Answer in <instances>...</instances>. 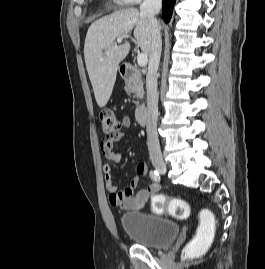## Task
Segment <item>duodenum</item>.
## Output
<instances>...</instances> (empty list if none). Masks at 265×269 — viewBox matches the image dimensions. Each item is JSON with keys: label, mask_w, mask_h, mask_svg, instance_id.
<instances>
[{"label": "duodenum", "mask_w": 265, "mask_h": 269, "mask_svg": "<svg viewBox=\"0 0 265 269\" xmlns=\"http://www.w3.org/2000/svg\"><path fill=\"white\" fill-rule=\"evenodd\" d=\"M122 77L125 81L138 85L142 76L140 72L130 63H126L121 67ZM148 109L143 103L136 108L135 118L139 125H144L147 122Z\"/></svg>", "instance_id": "duodenum-1"}]
</instances>
